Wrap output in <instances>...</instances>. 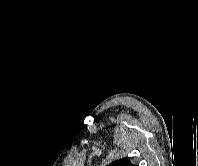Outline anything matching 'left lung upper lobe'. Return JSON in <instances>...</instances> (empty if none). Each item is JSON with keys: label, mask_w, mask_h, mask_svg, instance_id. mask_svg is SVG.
<instances>
[{"label": "left lung upper lobe", "mask_w": 198, "mask_h": 166, "mask_svg": "<svg viewBox=\"0 0 198 166\" xmlns=\"http://www.w3.org/2000/svg\"><path fill=\"white\" fill-rule=\"evenodd\" d=\"M109 166H135V165L131 164L128 158H123L111 163Z\"/></svg>", "instance_id": "obj_1"}]
</instances>
